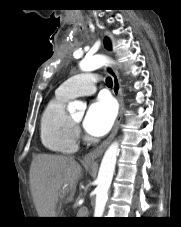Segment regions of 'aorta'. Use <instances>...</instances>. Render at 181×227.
Returning a JSON list of instances; mask_svg holds the SVG:
<instances>
[{"instance_id": "aorta-1", "label": "aorta", "mask_w": 181, "mask_h": 227, "mask_svg": "<svg viewBox=\"0 0 181 227\" xmlns=\"http://www.w3.org/2000/svg\"><path fill=\"white\" fill-rule=\"evenodd\" d=\"M112 63L114 62L104 55H94L92 57L83 59L79 63V67L82 71L88 72ZM85 108L86 104L79 101L71 102L68 106V110L72 113L76 110L84 111ZM118 153L119 144L117 141H115L108 147L101 161L97 177L94 217H102L104 213L105 205L108 199V190L110 188L115 171Z\"/></svg>"}]
</instances>
